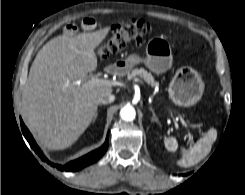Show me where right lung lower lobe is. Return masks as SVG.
I'll return each instance as SVG.
<instances>
[{"mask_svg":"<svg viewBox=\"0 0 245 195\" xmlns=\"http://www.w3.org/2000/svg\"><path fill=\"white\" fill-rule=\"evenodd\" d=\"M20 123H21L22 133H23L24 137L26 138V140L28 141V143L30 144L31 148L38 154V156L43 161L47 162L51 166H55L58 170H61V171H78V170H81L82 168H84L90 164H93L94 162L99 160L105 154V152L108 148V137H107L106 141L102 147L88 153L87 155H85L79 159H76L74 161H71V162H69L63 166L53 164L52 162L48 161V159L43 155L42 151L37 146L32 135L30 134L29 130L26 128V126L24 125L22 120H20Z\"/></svg>","mask_w":245,"mask_h":195,"instance_id":"obj_1","label":"right lung lower lobe"}]
</instances>
